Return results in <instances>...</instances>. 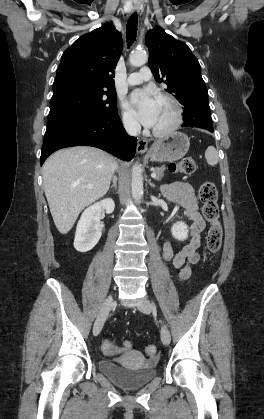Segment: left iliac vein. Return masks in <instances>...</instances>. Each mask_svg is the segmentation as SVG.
<instances>
[{
	"mask_svg": "<svg viewBox=\"0 0 264 419\" xmlns=\"http://www.w3.org/2000/svg\"><path fill=\"white\" fill-rule=\"evenodd\" d=\"M138 309L144 313H150L153 310V306L151 302L144 298L142 302L138 305ZM161 340L164 345H168L171 341V335L166 325H162L161 327Z\"/></svg>",
	"mask_w": 264,
	"mask_h": 419,
	"instance_id": "1",
	"label": "left iliac vein"
}]
</instances>
